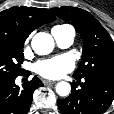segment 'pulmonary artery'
Returning <instances> with one entry per match:
<instances>
[{"label": "pulmonary artery", "instance_id": "1", "mask_svg": "<svg viewBox=\"0 0 114 114\" xmlns=\"http://www.w3.org/2000/svg\"><path fill=\"white\" fill-rule=\"evenodd\" d=\"M51 32L58 46L67 48L73 43L75 30L70 25L54 27Z\"/></svg>", "mask_w": 114, "mask_h": 114}]
</instances>
